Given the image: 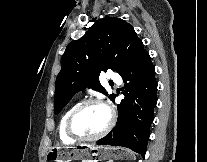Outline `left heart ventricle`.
Here are the masks:
<instances>
[{
	"label": "left heart ventricle",
	"mask_w": 207,
	"mask_h": 162,
	"mask_svg": "<svg viewBox=\"0 0 207 162\" xmlns=\"http://www.w3.org/2000/svg\"><path fill=\"white\" fill-rule=\"evenodd\" d=\"M107 122V109L102 105L92 104L76 117L73 128L78 134L91 136L100 133Z\"/></svg>",
	"instance_id": "1"
}]
</instances>
